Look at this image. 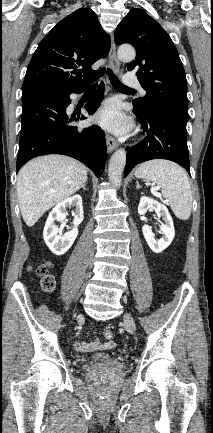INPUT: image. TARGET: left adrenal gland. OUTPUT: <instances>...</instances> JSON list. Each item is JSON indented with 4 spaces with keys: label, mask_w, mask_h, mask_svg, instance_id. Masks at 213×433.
<instances>
[{
    "label": "left adrenal gland",
    "mask_w": 213,
    "mask_h": 433,
    "mask_svg": "<svg viewBox=\"0 0 213 433\" xmlns=\"http://www.w3.org/2000/svg\"><path fill=\"white\" fill-rule=\"evenodd\" d=\"M136 184H137V185H136V189H140L141 186L139 185V182H138V181L136 182Z\"/></svg>",
    "instance_id": "obj_1"
}]
</instances>
